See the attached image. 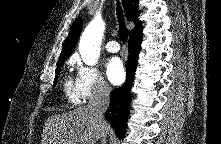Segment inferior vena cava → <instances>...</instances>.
Segmentation results:
<instances>
[{"label":"inferior vena cava","instance_id":"1","mask_svg":"<svg viewBox=\"0 0 221 144\" xmlns=\"http://www.w3.org/2000/svg\"><path fill=\"white\" fill-rule=\"evenodd\" d=\"M111 89L109 85L102 83L97 87L96 93L89 100L87 108L100 124L105 123L104 113L109 106ZM101 143H106V133L101 134Z\"/></svg>","mask_w":221,"mask_h":144}]
</instances>
